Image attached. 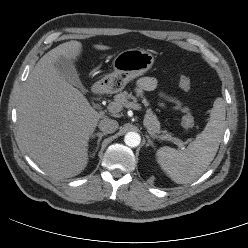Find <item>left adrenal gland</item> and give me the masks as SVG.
Returning <instances> with one entry per match:
<instances>
[{
	"label": "left adrenal gland",
	"mask_w": 248,
	"mask_h": 248,
	"mask_svg": "<svg viewBox=\"0 0 248 248\" xmlns=\"http://www.w3.org/2000/svg\"><path fill=\"white\" fill-rule=\"evenodd\" d=\"M146 138H147L146 146H152L153 148H155L153 141L150 139L149 135H146Z\"/></svg>",
	"instance_id": "a2214340"
}]
</instances>
